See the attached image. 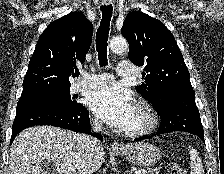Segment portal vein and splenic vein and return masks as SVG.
I'll return each mask as SVG.
<instances>
[{"mask_svg":"<svg viewBox=\"0 0 224 174\" xmlns=\"http://www.w3.org/2000/svg\"><path fill=\"white\" fill-rule=\"evenodd\" d=\"M57 166H60V169H66V166L65 165H60V164H57ZM135 174H146V170H138L135 172Z\"/></svg>","mask_w":224,"mask_h":174,"instance_id":"obj_1","label":"portal vein and splenic vein"}]
</instances>
